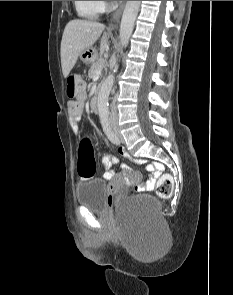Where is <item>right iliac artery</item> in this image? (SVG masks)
<instances>
[{"mask_svg":"<svg viewBox=\"0 0 233 295\" xmlns=\"http://www.w3.org/2000/svg\"><path fill=\"white\" fill-rule=\"evenodd\" d=\"M102 125L108 139L114 144H119L120 141L114 134V132L111 130L108 119H102Z\"/></svg>","mask_w":233,"mask_h":295,"instance_id":"obj_1","label":"right iliac artery"}]
</instances>
